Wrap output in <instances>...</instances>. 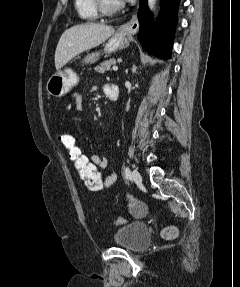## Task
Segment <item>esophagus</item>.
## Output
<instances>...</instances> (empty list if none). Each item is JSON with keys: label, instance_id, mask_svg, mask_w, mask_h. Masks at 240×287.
I'll use <instances>...</instances> for the list:
<instances>
[{"label": "esophagus", "instance_id": "obj_1", "mask_svg": "<svg viewBox=\"0 0 240 287\" xmlns=\"http://www.w3.org/2000/svg\"><path fill=\"white\" fill-rule=\"evenodd\" d=\"M139 29V21H138V18H137V15H133L132 18L124 23L119 31L121 34H124V35H133L135 34Z\"/></svg>", "mask_w": 240, "mask_h": 287}]
</instances>
